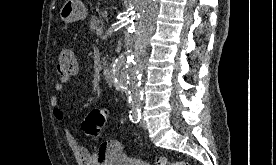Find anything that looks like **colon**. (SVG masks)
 Instances as JSON below:
<instances>
[{
	"instance_id": "obj_1",
	"label": "colon",
	"mask_w": 276,
	"mask_h": 165,
	"mask_svg": "<svg viewBox=\"0 0 276 165\" xmlns=\"http://www.w3.org/2000/svg\"><path fill=\"white\" fill-rule=\"evenodd\" d=\"M78 69L75 51L72 47H65L58 56L57 73L60 77L70 78L75 75ZM108 117L105 108H95L90 111L82 122V129L90 136L98 138L103 130ZM118 145L113 141H104L100 144L99 152L106 153L115 151ZM155 165H190L184 161H170L166 157L160 156L155 160Z\"/></svg>"
}]
</instances>
